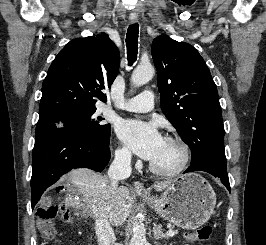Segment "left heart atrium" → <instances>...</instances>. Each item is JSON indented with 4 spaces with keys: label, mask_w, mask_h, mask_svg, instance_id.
<instances>
[{
    "label": "left heart atrium",
    "mask_w": 266,
    "mask_h": 245,
    "mask_svg": "<svg viewBox=\"0 0 266 245\" xmlns=\"http://www.w3.org/2000/svg\"><path fill=\"white\" fill-rule=\"evenodd\" d=\"M116 133L136 155L149 162L154 160L165 140L154 122L120 120L116 124Z\"/></svg>",
    "instance_id": "obj_1"
}]
</instances>
